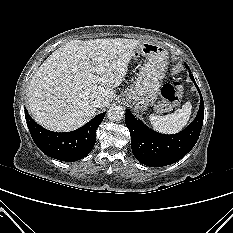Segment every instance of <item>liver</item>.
Instances as JSON below:
<instances>
[{"instance_id": "6515ba94", "label": "liver", "mask_w": 233, "mask_h": 233, "mask_svg": "<svg viewBox=\"0 0 233 233\" xmlns=\"http://www.w3.org/2000/svg\"><path fill=\"white\" fill-rule=\"evenodd\" d=\"M135 39L72 40L55 50L33 75L27 92L33 119L48 130L67 132L95 114L93 101L107 106L124 80Z\"/></svg>"}]
</instances>
